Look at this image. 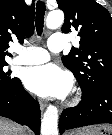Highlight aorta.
Here are the masks:
<instances>
[{"label":"aorta","mask_w":112,"mask_h":135,"mask_svg":"<svg viewBox=\"0 0 112 135\" xmlns=\"http://www.w3.org/2000/svg\"><path fill=\"white\" fill-rule=\"evenodd\" d=\"M64 22V14L60 10L50 12L46 18V26L56 29ZM41 135H58V109L49 105L41 121Z\"/></svg>","instance_id":"1"}]
</instances>
